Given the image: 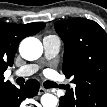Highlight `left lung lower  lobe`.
I'll return each instance as SVG.
<instances>
[{"label":"left lung lower lobe","mask_w":107,"mask_h":107,"mask_svg":"<svg viewBox=\"0 0 107 107\" xmlns=\"http://www.w3.org/2000/svg\"><path fill=\"white\" fill-rule=\"evenodd\" d=\"M107 93H102L96 98L80 95L78 89H68L65 96L60 98L59 107H106Z\"/></svg>","instance_id":"1"}]
</instances>
